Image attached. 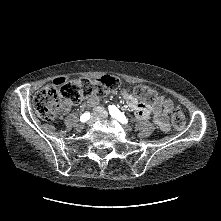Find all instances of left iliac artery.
Masks as SVG:
<instances>
[{"label": "left iliac artery", "mask_w": 221, "mask_h": 221, "mask_svg": "<svg viewBox=\"0 0 221 221\" xmlns=\"http://www.w3.org/2000/svg\"><path fill=\"white\" fill-rule=\"evenodd\" d=\"M109 113L113 118L119 120L121 123L127 124V122H128L127 117L123 113H121L116 106L110 105L109 106Z\"/></svg>", "instance_id": "left-iliac-artery-1"}]
</instances>
